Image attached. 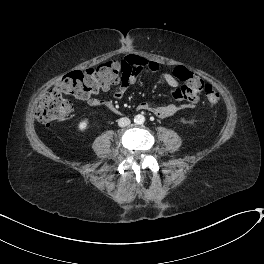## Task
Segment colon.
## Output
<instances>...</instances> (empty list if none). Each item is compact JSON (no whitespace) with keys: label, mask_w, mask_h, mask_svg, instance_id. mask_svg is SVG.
Masks as SVG:
<instances>
[{"label":"colon","mask_w":264,"mask_h":264,"mask_svg":"<svg viewBox=\"0 0 264 264\" xmlns=\"http://www.w3.org/2000/svg\"><path fill=\"white\" fill-rule=\"evenodd\" d=\"M127 60V57L123 60H108L94 68L72 71L62 76L43 94L36 110L37 119L45 125H51L67 117L73 110V103L67 96L81 99L107 88L114 82L118 72L125 68ZM173 74L184 82L181 88L174 90L172 95L175 100L191 101L202 87L207 104L214 106L219 102L217 90L211 85H202V81L186 69L178 67Z\"/></svg>","instance_id":"5ec220e1"}]
</instances>
